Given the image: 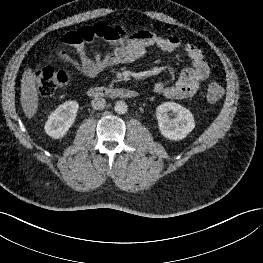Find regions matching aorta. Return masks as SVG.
Wrapping results in <instances>:
<instances>
[{"instance_id":"1","label":"aorta","mask_w":263,"mask_h":263,"mask_svg":"<svg viewBox=\"0 0 263 263\" xmlns=\"http://www.w3.org/2000/svg\"><path fill=\"white\" fill-rule=\"evenodd\" d=\"M128 106L124 101L116 102L114 110L117 114H125L127 112Z\"/></svg>"}]
</instances>
